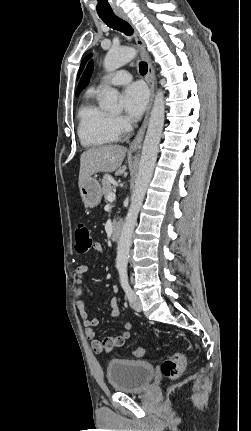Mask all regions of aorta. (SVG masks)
I'll return each instance as SVG.
<instances>
[{"instance_id":"762f6f07","label":"aorta","mask_w":251,"mask_h":431,"mask_svg":"<svg viewBox=\"0 0 251 431\" xmlns=\"http://www.w3.org/2000/svg\"><path fill=\"white\" fill-rule=\"evenodd\" d=\"M136 54V49L132 47H112L105 56L104 67L107 72L115 71L134 59ZM117 106L118 92L115 89L108 88L100 103V107L106 110H113L116 109ZM164 117V95L162 91H158L155 95L146 136L143 142L139 171L131 196V204L117 244L116 267L118 270H126L127 268L132 234L148 185L152 179L164 125Z\"/></svg>"}]
</instances>
